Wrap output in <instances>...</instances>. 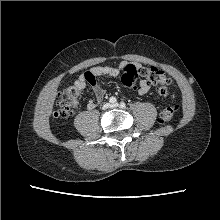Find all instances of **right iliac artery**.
Segmentation results:
<instances>
[{"instance_id":"right-iliac-artery-1","label":"right iliac artery","mask_w":220,"mask_h":220,"mask_svg":"<svg viewBox=\"0 0 220 220\" xmlns=\"http://www.w3.org/2000/svg\"><path fill=\"white\" fill-rule=\"evenodd\" d=\"M117 100H116V98L115 97H111L110 99H109V102L110 103H115Z\"/></svg>"}]
</instances>
